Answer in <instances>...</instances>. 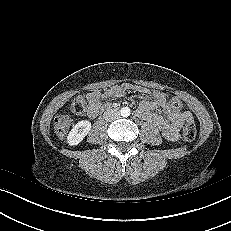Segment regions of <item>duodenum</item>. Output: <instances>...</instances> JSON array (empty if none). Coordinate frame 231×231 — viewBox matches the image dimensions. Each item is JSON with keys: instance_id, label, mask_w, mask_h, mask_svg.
I'll use <instances>...</instances> for the list:
<instances>
[{"instance_id": "410a0bca", "label": "duodenum", "mask_w": 231, "mask_h": 231, "mask_svg": "<svg viewBox=\"0 0 231 231\" xmlns=\"http://www.w3.org/2000/svg\"><path fill=\"white\" fill-rule=\"evenodd\" d=\"M104 109H107V110H108V109H110V107H107V108H104Z\"/></svg>"}]
</instances>
